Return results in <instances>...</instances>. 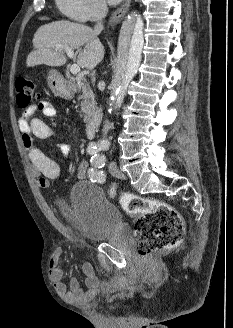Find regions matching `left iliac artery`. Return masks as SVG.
<instances>
[{
	"label": "left iliac artery",
	"mask_w": 233,
	"mask_h": 328,
	"mask_svg": "<svg viewBox=\"0 0 233 328\" xmlns=\"http://www.w3.org/2000/svg\"><path fill=\"white\" fill-rule=\"evenodd\" d=\"M106 162L103 154H94L91 157L92 167L89 169L88 174L92 182L103 183L105 181V174L102 170Z\"/></svg>",
	"instance_id": "44dca946"
}]
</instances>
